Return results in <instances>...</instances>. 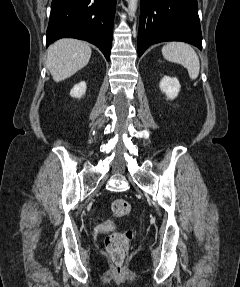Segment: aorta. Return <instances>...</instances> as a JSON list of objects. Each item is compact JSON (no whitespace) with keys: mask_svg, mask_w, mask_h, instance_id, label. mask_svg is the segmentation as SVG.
<instances>
[{"mask_svg":"<svg viewBox=\"0 0 240 287\" xmlns=\"http://www.w3.org/2000/svg\"><path fill=\"white\" fill-rule=\"evenodd\" d=\"M137 3L138 0H128V11H129V16L132 17L137 9Z\"/></svg>","mask_w":240,"mask_h":287,"instance_id":"obj_1","label":"aorta"}]
</instances>
